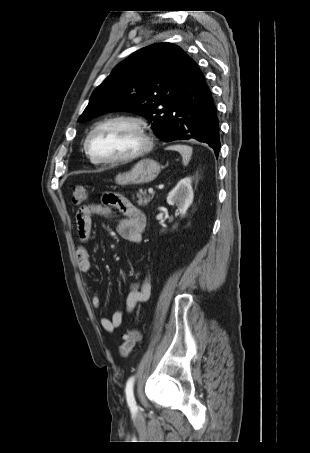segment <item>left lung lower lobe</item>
I'll use <instances>...</instances> for the list:
<instances>
[{"instance_id": "1", "label": "left lung lower lobe", "mask_w": 310, "mask_h": 453, "mask_svg": "<svg viewBox=\"0 0 310 453\" xmlns=\"http://www.w3.org/2000/svg\"><path fill=\"white\" fill-rule=\"evenodd\" d=\"M159 137L165 142L195 139L207 143L216 156L219 154L217 109L206 79L193 60Z\"/></svg>"}]
</instances>
